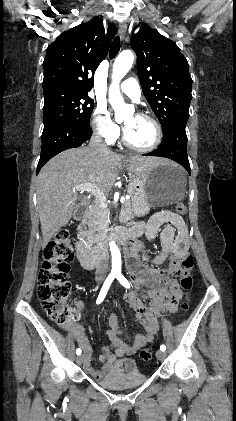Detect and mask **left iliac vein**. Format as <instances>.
Instances as JSON below:
<instances>
[{
	"label": "left iliac vein",
	"instance_id": "left-iliac-vein-1",
	"mask_svg": "<svg viewBox=\"0 0 236 421\" xmlns=\"http://www.w3.org/2000/svg\"><path fill=\"white\" fill-rule=\"evenodd\" d=\"M165 356H166V354H165V352H163L162 350H158V351L156 352V357H157L158 359H163V358H165Z\"/></svg>",
	"mask_w": 236,
	"mask_h": 421
}]
</instances>
